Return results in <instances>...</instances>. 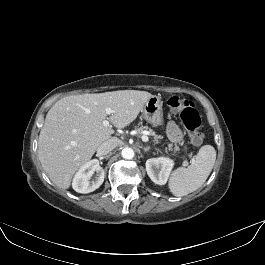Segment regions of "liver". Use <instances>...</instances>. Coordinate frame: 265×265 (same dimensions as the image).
<instances>
[{
	"label": "liver",
	"instance_id": "liver-1",
	"mask_svg": "<svg viewBox=\"0 0 265 265\" xmlns=\"http://www.w3.org/2000/svg\"><path fill=\"white\" fill-rule=\"evenodd\" d=\"M153 95L146 91L120 90L67 96L48 111L38 141V156L49 178L68 189L73 175L90 161L96 149L116 128L132 123ZM106 108L113 113L106 114Z\"/></svg>",
	"mask_w": 265,
	"mask_h": 265
}]
</instances>
